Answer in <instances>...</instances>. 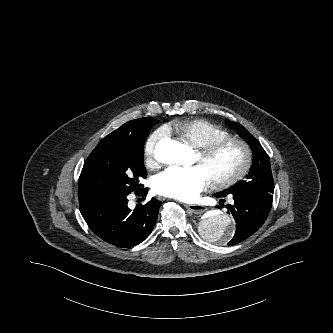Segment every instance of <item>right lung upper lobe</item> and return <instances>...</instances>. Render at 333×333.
<instances>
[{
    "label": "right lung upper lobe",
    "mask_w": 333,
    "mask_h": 333,
    "mask_svg": "<svg viewBox=\"0 0 333 333\" xmlns=\"http://www.w3.org/2000/svg\"><path fill=\"white\" fill-rule=\"evenodd\" d=\"M146 118L129 121L110 133L109 137L132 138L138 134Z\"/></svg>",
    "instance_id": "obj_1"
}]
</instances>
